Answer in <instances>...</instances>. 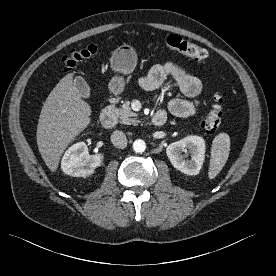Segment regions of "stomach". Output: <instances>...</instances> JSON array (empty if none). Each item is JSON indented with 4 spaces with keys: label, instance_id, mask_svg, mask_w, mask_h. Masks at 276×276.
<instances>
[{
    "label": "stomach",
    "instance_id": "stomach-1",
    "mask_svg": "<svg viewBox=\"0 0 276 276\" xmlns=\"http://www.w3.org/2000/svg\"><path fill=\"white\" fill-rule=\"evenodd\" d=\"M137 57L132 47L123 44L118 47L111 57V68L121 74H130L136 67ZM125 82L122 77H114L109 83V90L113 94H121L124 91Z\"/></svg>",
    "mask_w": 276,
    "mask_h": 276
}]
</instances>
